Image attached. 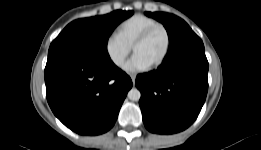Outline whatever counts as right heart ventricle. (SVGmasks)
<instances>
[{
  "label": "right heart ventricle",
  "mask_w": 261,
  "mask_h": 150,
  "mask_svg": "<svg viewBox=\"0 0 261 150\" xmlns=\"http://www.w3.org/2000/svg\"><path fill=\"white\" fill-rule=\"evenodd\" d=\"M159 22L144 14H135L122 21L116 30L118 37L132 47L135 40L142 34L147 28Z\"/></svg>",
  "instance_id": "1"
}]
</instances>
